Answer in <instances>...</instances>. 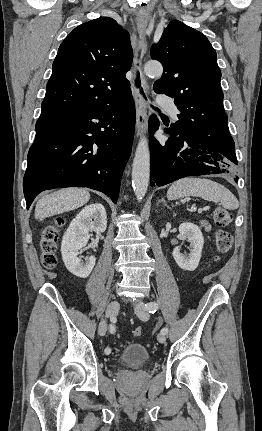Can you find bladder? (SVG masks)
Returning a JSON list of instances; mask_svg holds the SVG:
<instances>
[{
	"mask_svg": "<svg viewBox=\"0 0 262 431\" xmlns=\"http://www.w3.org/2000/svg\"><path fill=\"white\" fill-rule=\"evenodd\" d=\"M150 360L148 350L138 342L128 343L119 353V361L129 368H136Z\"/></svg>",
	"mask_w": 262,
	"mask_h": 431,
	"instance_id": "obj_1",
	"label": "bladder"
}]
</instances>
